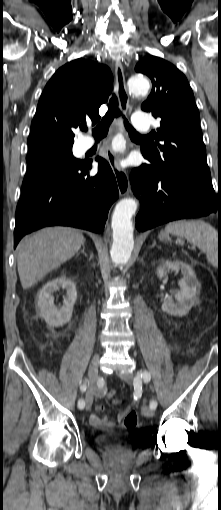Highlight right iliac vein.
<instances>
[{
  "instance_id": "63e3f726",
  "label": "right iliac vein",
  "mask_w": 221,
  "mask_h": 510,
  "mask_svg": "<svg viewBox=\"0 0 221 510\" xmlns=\"http://www.w3.org/2000/svg\"><path fill=\"white\" fill-rule=\"evenodd\" d=\"M98 366H99V356H95L88 369V377L91 383L87 393H86V409L89 410L93 404V396L95 393V381L98 375Z\"/></svg>"
}]
</instances>
